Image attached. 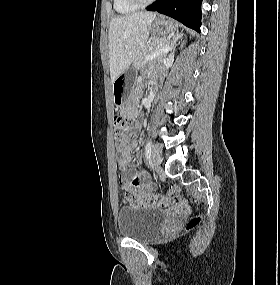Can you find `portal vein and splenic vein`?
<instances>
[{"label":"portal vein and splenic vein","mask_w":280,"mask_h":285,"mask_svg":"<svg viewBox=\"0 0 280 285\" xmlns=\"http://www.w3.org/2000/svg\"><path fill=\"white\" fill-rule=\"evenodd\" d=\"M170 50V47L169 46H163L160 50L154 52V53H151L149 55H147L145 57V61H149V60H152L156 57H158L161 53H167L168 51Z\"/></svg>","instance_id":"1"}]
</instances>
